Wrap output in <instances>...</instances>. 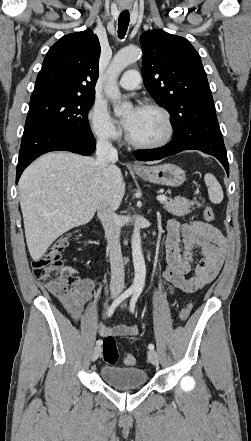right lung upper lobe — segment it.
<instances>
[{
    "instance_id": "1",
    "label": "right lung upper lobe",
    "mask_w": 251,
    "mask_h": 441,
    "mask_svg": "<svg viewBox=\"0 0 251 441\" xmlns=\"http://www.w3.org/2000/svg\"><path fill=\"white\" fill-rule=\"evenodd\" d=\"M100 51L98 37L89 29L60 38L44 58L31 101L95 96Z\"/></svg>"
}]
</instances>
